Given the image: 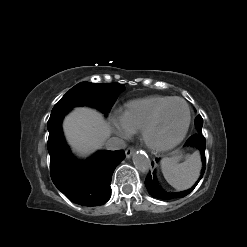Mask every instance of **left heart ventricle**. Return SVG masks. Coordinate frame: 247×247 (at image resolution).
Listing matches in <instances>:
<instances>
[{
  "instance_id": "obj_1",
  "label": "left heart ventricle",
  "mask_w": 247,
  "mask_h": 247,
  "mask_svg": "<svg viewBox=\"0 0 247 247\" xmlns=\"http://www.w3.org/2000/svg\"><path fill=\"white\" fill-rule=\"evenodd\" d=\"M187 119V110L182 102L168 105L160 115L151 131V138L157 142H166L176 138L183 130Z\"/></svg>"
}]
</instances>
